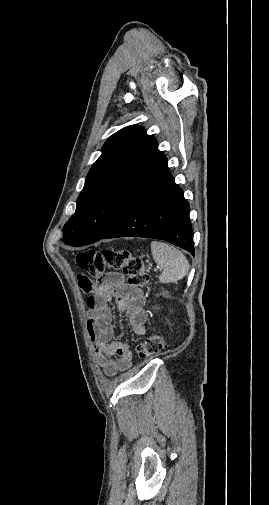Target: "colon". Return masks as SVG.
Masks as SVG:
<instances>
[{
	"label": "colon",
	"instance_id": "1",
	"mask_svg": "<svg viewBox=\"0 0 269 505\" xmlns=\"http://www.w3.org/2000/svg\"><path fill=\"white\" fill-rule=\"evenodd\" d=\"M76 262L79 268L89 274L91 281H102L106 269L122 270L127 276L128 283L134 287L145 286L149 281L143 261L132 256L128 251L86 250L77 255ZM163 348V338L159 335H151L137 346L136 352L140 358L146 359L158 354Z\"/></svg>",
	"mask_w": 269,
	"mask_h": 505
}]
</instances>
